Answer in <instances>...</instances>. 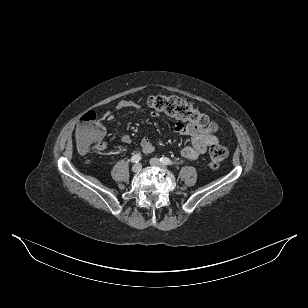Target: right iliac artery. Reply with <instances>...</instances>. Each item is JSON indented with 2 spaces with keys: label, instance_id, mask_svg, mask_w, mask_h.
<instances>
[{
  "label": "right iliac artery",
  "instance_id": "obj_1",
  "mask_svg": "<svg viewBox=\"0 0 308 308\" xmlns=\"http://www.w3.org/2000/svg\"><path fill=\"white\" fill-rule=\"evenodd\" d=\"M141 155L140 154H135L131 157V162L133 163H138L141 160Z\"/></svg>",
  "mask_w": 308,
  "mask_h": 308
}]
</instances>
